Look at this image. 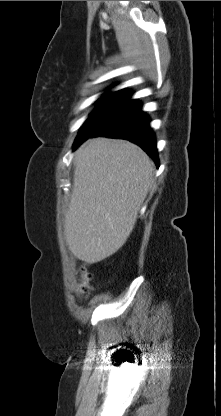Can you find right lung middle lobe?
Segmentation results:
<instances>
[{
    "label": "right lung middle lobe",
    "mask_w": 221,
    "mask_h": 416,
    "mask_svg": "<svg viewBox=\"0 0 221 416\" xmlns=\"http://www.w3.org/2000/svg\"><path fill=\"white\" fill-rule=\"evenodd\" d=\"M124 96H104L100 98L99 106L92 112L83 126L80 128L78 138L86 136L99 127L118 107L126 100Z\"/></svg>",
    "instance_id": "right-lung-middle-lobe-1"
}]
</instances>
